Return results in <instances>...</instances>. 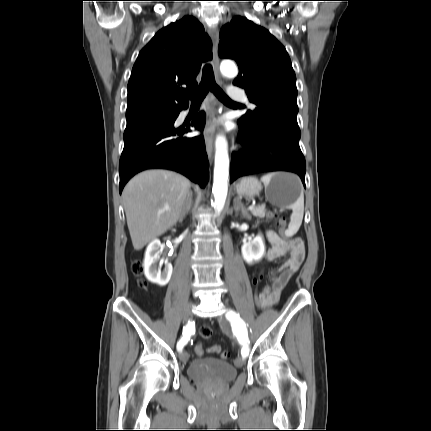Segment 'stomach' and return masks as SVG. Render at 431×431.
<instances>
[{"mask_svg":"<svg viewBox=\"0 0 431 431\" xmlns=\"http://www.w3.org/2000/svg\"><path fill=\"white\" fill-rule=\"evenodd\" d=\"M235 190L239 197H254L261 192L262 186L257 178L246 177L235 186ZM301 193L300 180L292 173H274L270 182L265 185L267 200L277 207H291L299 199Z\"/></svg>","mask_w":431,"mask_h":431,"instance_id":"0dacf381","label":"stomach"}]
</instances>
